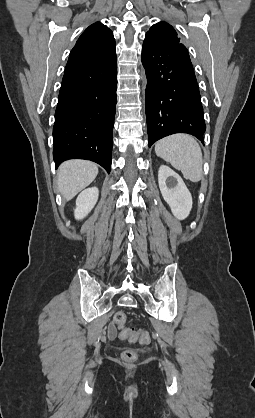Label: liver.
<instances>
[{"label":"liver","mask_w":255,"mask_h":418,"mask_svg":"<svg viewBox=\"0 0 255 418\" xmlns=\"http://www.w3.org/2000/svg\"><path fill=\"white\" fill-rule=\"evenodd\" d=\"M98 174L97 164L86 160H69L58 169V189L67 201L90 185Z\"/></svg>","instance_id":"liver-1"}]
</instances>
